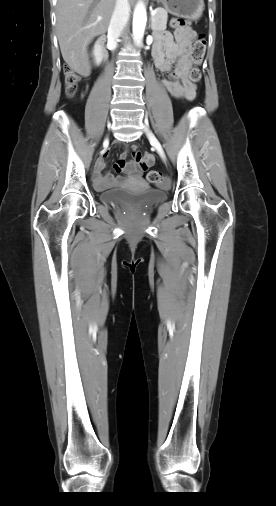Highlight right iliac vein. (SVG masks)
<instances>
[{
    "mask_svg": "<svg viewBox=\"0 0 276 506\" xmlns=\"http://www.w3.org/2000/svg\"><path fill=\"white\" fill-rule=\"evenodd\" d=\"M107 141H108V139L106 138V139H105V142H107Z\"/></svg>",
    "mask_w": 276,
    "mask_h": 506,
    "instance_id": "right-iliac-vein-1",
    "label": "right iliac vein"
}]
</instances>
